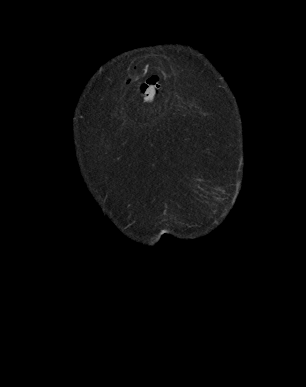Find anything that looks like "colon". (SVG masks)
Here are the masks:
<instances>
[{
  "label": "colon",
  "mask_w": 306,
  "mask_h": 387,
  "mask_svg": "<svg viewBox=\"0 0 306 387\" xmlns=\"http://www.w3.org/2000/svg\"><path fill=\"white\" fill-rule=\"evenodd\" d=\"M160 83L157 79L149 78L141 86V92L144 99L148 102L153 101L160 92Z\"/></svg>",
  "instance_id": "obj_1"
}]
</instances>
